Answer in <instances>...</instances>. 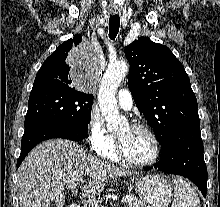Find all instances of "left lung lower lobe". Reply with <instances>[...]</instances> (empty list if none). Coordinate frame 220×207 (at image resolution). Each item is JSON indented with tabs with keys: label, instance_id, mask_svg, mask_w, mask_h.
Returning <instances> with one entry per match:
<instances>
[{
	"label": "left lung lower lobe",
	"instance_id": "obj_1",
	"mask_svg": "<svg viewBox=\"0 0 220 207\" xmlns=\"http://www.w3.org/2000/svg\"><path fill=\"white\" fill-rule=\"evenodd\" d=\"M156 168L189 178L206 197L208 174L203 156L200 124L179 129L161 145V158Z\"/></svg>",
	"mask_w": 220,
	"mask_h": 207
}]
</instances>
